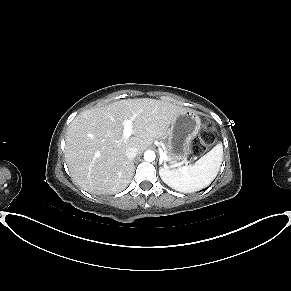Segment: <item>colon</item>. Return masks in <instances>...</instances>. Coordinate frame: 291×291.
Wrapping results in <instances>:
<instances>
[{"label":"colon","mask_w":291,"mask_h":291,"mask_svg":"<svg viewBox=\"0 0 291 291\" xmlns=\"http://www.w3.org/2000/svg\"><path fill=\"white\" fill-rule=\"evenodd\" d=\"M213 125L206 123L197 138L191 142V151L194 155L204 153L213 142Z\"/></svg>","instance_id":"5ec220e1"}]
</instances>
